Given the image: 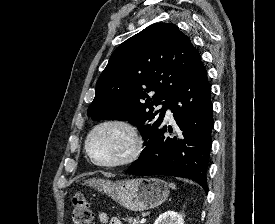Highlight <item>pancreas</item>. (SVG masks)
I'll use <instances>...</instances> for the list:
<instances>
[{
    "label": "pancreas",
    "instance_id": "obj_1",
    "mask_svg": "<svg viewBox=\"0 0 275 224\" xmlns=\"http://www.w3.org/2000/svg\"><path fill=\"white\" fill-rule=\"evenodd\" d=\"M128 224H139V217H127Z\"/></svg>",
    "mask_w": 275,
    "mask_h": 224
}]
</instances>
